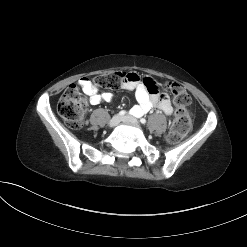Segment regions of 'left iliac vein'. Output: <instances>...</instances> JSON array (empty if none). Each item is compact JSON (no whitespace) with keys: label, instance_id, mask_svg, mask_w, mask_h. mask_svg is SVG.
<instances>
[{"label":"left iliac vein","instance_id":"1","mask_svg":"<svg viewBox=\"0 0 247 247\" xmlns=\"http://www.w3.org/2000/svg\"><path fill=\"white\" fill-rule=\"evenodd\" d=\"M121 121H123V122H131V123H133L135 125L138 124L137 119L135 117L131 116V115H126V116L121 117Z\"/></svg>","mask_w":247,"mask_h":247}]
</instances>
